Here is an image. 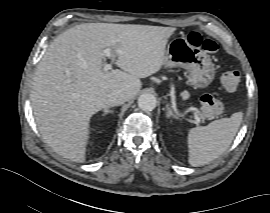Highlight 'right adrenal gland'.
Segmentation results:
<instances>
[{
    "mask_svg": "<svg viewBox=\"0 0 270 213\" xmlns=\"http://www.w3.org/2000/svg\"><path fill=\"white\" fill-rule=\"evenodd\" d=\"M109 113H113V110H110L108 107L106 109H104V112L102 114V116H106Z\"/></svg>",
    "mask_w": 270,
    "mask_h": 213,
    "instance_id": "right-adrenal-gland-1",
    "label": "right adrenal gland"
}]
</instances>
